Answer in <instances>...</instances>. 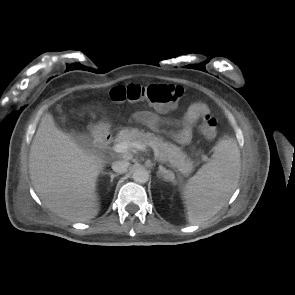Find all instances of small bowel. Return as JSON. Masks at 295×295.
<instances>
[{"label":"small bowel","instance_id":"obj_1","mask_svg":"<svg viewBox=\"0 0 295 295\" xmlns=\"http://www.w3.org/2000/svg\"><path fill=\"white\" fill-rule=\"evenodd\" d=\"M208 113L211 111L205 103L192 104L183 117L181 128L173 134L174 139L180 144H188L192 139L194 126ZM133 118L153 130H156L161 122L160 113L153 111H137Z\"/></svg>","mask_w":295,"mask_h":295}]
</instances>
